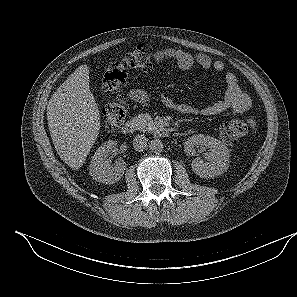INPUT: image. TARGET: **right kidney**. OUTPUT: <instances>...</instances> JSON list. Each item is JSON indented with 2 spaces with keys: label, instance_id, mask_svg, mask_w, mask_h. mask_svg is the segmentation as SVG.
<instances>
[{
  "label": "right kidney",
  "instance_id": "obj_1",
  "mask_svg": "<svg viewBox=\"0 0 297 297\" xmlns=\"http://www.w3.org/2000/svg\"><path fill=\"white\" fill-rule=\"evenodd\" d=\"M116 141L109 140L100 146L90 164V175L97 182L113 184L121 179L126 169V163L120 160L115 166L110 165L109 152L116 147Z\"/></svg>",
  "mask_w": 297,
  "mask_h": 297
}]
</instances>
